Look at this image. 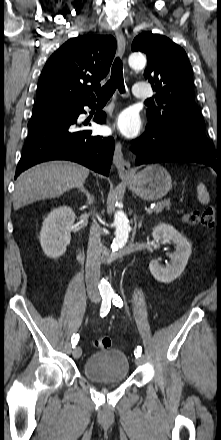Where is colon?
I'll list each match as a JSON object with an SVG mask.
<instances>
[{
	"mask_svg": "<svg viewBox=\"0 0 221 440\" xmlns=\"http://www.w3.org/2000/svg\"><path fill=\"white\" fill-rule=\"evenodd\" d=\"M182 220L186 225L211 227L215 223V212L211 209L198 211L193 210L186 212L182 216ZM96 349L106 350L111 347L112 340L108 337L98 338L93 342Z\"/></svg>",
	"mask_w": 221,
	"mask_h": 440,
	"instance_id": "colon-1",
	"label": "colon"
}]
</instances>
